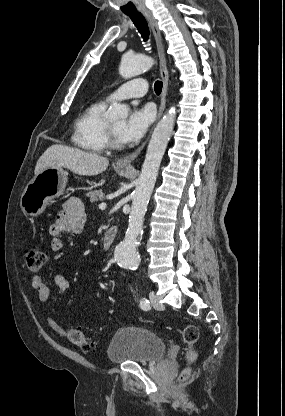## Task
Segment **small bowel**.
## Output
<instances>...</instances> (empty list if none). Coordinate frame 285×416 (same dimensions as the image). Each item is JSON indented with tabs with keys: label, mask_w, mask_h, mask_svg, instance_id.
<instances>
[{
	"label": "small bowel",
	"mask_w": 285,
	"mask_h": 416,
	"mask_svg": "<svg viewBox=\"0 0 285 416\" xmlns=\"http://www.w3.org/2000/svg\"><path fill=\"white\" fill-rule=\"evenodd\" d=\"M85 223L86 215L81 201L77 198H71L49 227V234L51 236L49 243L50 250L54 253L60 252L63 248L60 236L80 233ZM53 281L55 285L54 289L47 285L40 277L33 279L32 287L36 290L38 299L41 302H48L55 294H63L69 287V281L61 274H57ZM46 322L57 335L66 336L67 330L51 316L46 317Z\"/></svg>",
	"instance_id": "1"
}]
</instances>
